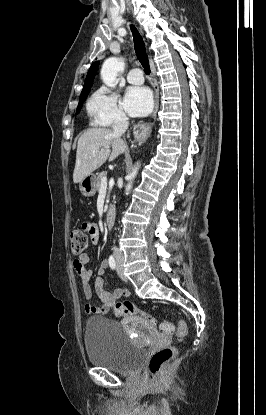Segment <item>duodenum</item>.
Wrapping results in <instances>:
<instances>
[{"mask_svg":"<svg viewBox=\"0 0 266 415\" xmlns=\"http://www.w3.org/2000/svg\"><path fill=\"white\" fill-rule=\"evenodd\" d=\"M115 218V208L110 206L106 212L105 223L108 228H111L114 223Z\"/></svg>","mask_w":266,"mask_h":415,"instance_id":"410a0bca","label":"duodenum"}]
</instances>
